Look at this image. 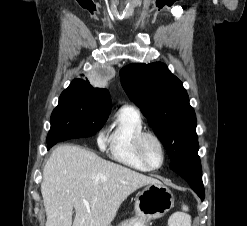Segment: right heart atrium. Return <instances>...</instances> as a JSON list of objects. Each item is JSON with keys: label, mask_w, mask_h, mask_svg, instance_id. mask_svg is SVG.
I'll return each mask as SVG.
<instances>
[{"label": "right heart atrium", "mask_w": 247, "mask_h": 226, "mask_svg": "<svg viewBox=\"0 0 247 226\" xmlns=\"http://www.w3.org/2000/svg\"><path fill=\"white\" fill-rule=\"evenodd\" d=\"M98 143L100 145H103L105 143V136L103 134H100L98 137Z\"/></svg>", "instance_id": "1"}]
</instances>
